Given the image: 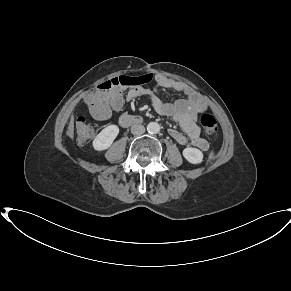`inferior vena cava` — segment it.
Returning a JSON list of instances; mask_svg holds the SVG:
<instances>
[{"label":"inferior vena cava","instance_id":"602c4592","mask_svg":"<svg viewBox=\"0 0 291 291\" xmlns=\"http://www.w3.org/2000/svg\"><path fill=\"white\" fill-rule=\"evenodd\" d=\"M145 132V127L140 124H135L131 127V133L133 135H141Z\"/></svg>","mask_w":291,"mask_h":291}]
</instances>
